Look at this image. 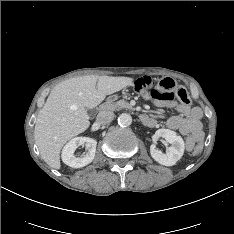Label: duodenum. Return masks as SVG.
Here are the masks:
<instances>
[{"label": "duodenum", "instance_id": "duodenum-1", "mask_svg": "<svg viewBox=\"0 0 234 234\" xmlns=\"http://www.w3.org/2000/svg\"><path fill=\"white\" fill-rule=\"evenodd\" d=\"M111 102H112V98H110L106 103H104V104L102 105L101 109H102L103 111L108 110V109L110 108V106H111ZM142 120H143V121L146 120L145 116L142 117Z\"/></svg>", "mask_w": 234, "mask_h": 234}]
</instances>
